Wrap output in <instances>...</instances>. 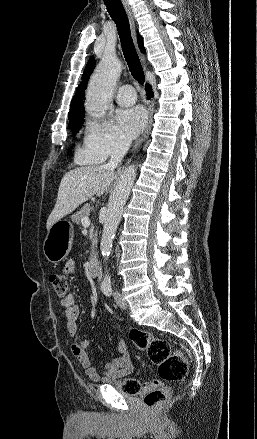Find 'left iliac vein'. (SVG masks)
Listing matches in <instances>:
<instances>
[{
    "mask_svg": "<svg viewBox=\"0 0 257 439\" xmlns=\"http://www.w3.org/2000/svg\"><path fill=\"white\" fill-rule=\"evenodd\" d=\"M114 298L119 307L124 309L128 307V303L123 299L122 295L119 292L114 293Z\"/></svg>",
    "mask_w": 257,
    "mask_h": 439,
    "instance_id": "1",
    "label": "left iliac vein"
}]
</instances>
